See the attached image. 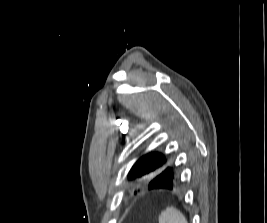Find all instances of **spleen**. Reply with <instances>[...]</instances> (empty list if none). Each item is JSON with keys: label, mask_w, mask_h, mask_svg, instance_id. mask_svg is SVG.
Masks as SVG:
<instances>
[{"label": "spleen", "mask_w": 267, "mask_h": 223, "mask_svg": "<svg viewBox=\"0 0 267 223\" xmlns=\"http://www.w3.org/2000/svg\"><path fill=\"white\" fill-rule=\"evenodd\" d=\"M159 223H188L185 216L174 207H167L159 216Z\"/></svg>", "instance_id": "spleen-1"}]
</instances>
